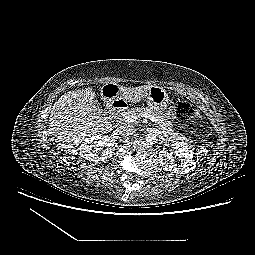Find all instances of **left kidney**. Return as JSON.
<instances>
[{
	"mask_svg": "<svg viewBox=\"0 0 255 255\" xmlns=\"http://www.w3.org/2000/svg\"><path fill=\"white\" fill-rule=\"evenodd\" d=\"M180 158L181 163H175L173 155ZM159 162L165 171H172L177 174H186L195 169L192 146L187 142H178L172 145V153L165 150L159 152Z\"/></svg>",
	"mask_w": 255,
	"mask_h": 255,
	"instance_id": "left-kidney-1",
	"label": "left kidney"
}]
</instances>
